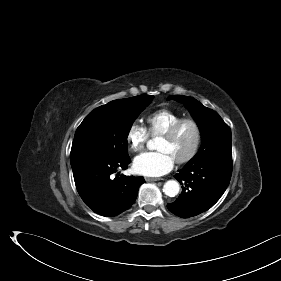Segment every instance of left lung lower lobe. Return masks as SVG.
<instances>
[{
	"label": "left lung lower lobe",
	"instance_id": "0a47b994",
	"mask_svg": "<svg viewBox=\"0 0 281 281\" xmlns=\"http://www.w3.org/2000/svg\"><path fill=\"white\" fill-rule=\"evenodd\" d=\"M232 173V158H205L187 165L174 177L184 186L167 208L181 218L207 211L225 192Z\"/></svg>",
	"mask_w": 281,
	"mask_h": 281
}]
</instances>
